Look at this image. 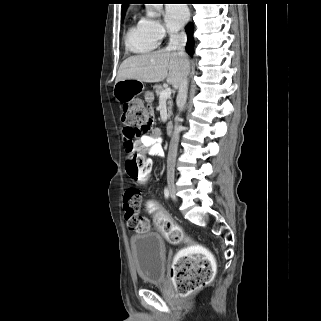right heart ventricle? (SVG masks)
I'll return each mask as SVG.
<instances>
[{"label":"right heart ventricle","mask_w":321,"mask_h":321,"mask_svg":"<svg viewBox=\"0 0 321 321\" xmlns=\"http://www.w3.org/2000/svg\"><path fill=\"white\" fill-rule=\"evenodd\" d=\"M158 40L146 28L144 19H134L125 34V46L134 54H145L153 51Z\"/></svg>","instance_id":"1"}]
</instances>
